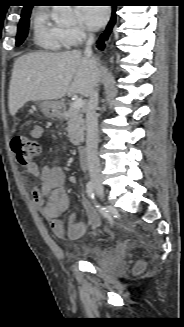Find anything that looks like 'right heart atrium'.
Wrapping results in <instances>:
<instances>
[{
    "instance_id": "d8ad5b80",
    "label": "right heart atrium",
    "mask_w": 184,
    "mask_h": 327,
    "mask_svg": "<svg viewBox=\"0 0 184 327\" xmlns=\"http://www.w3.org/2000/svg\"><path fill=\"white\" fill-rule=\"evenodd\" d=\"M88 37V33L80 26L70 27L66 30V39L69 47L81 45Z\"/></svg>"
}]
</instances>
